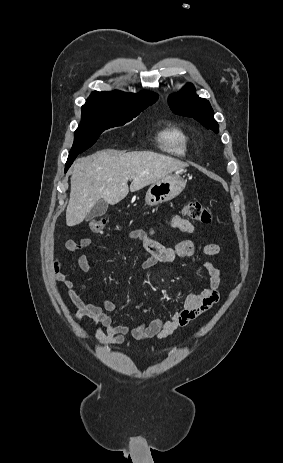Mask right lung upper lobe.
I'll use <instances>...</instances> for the list:
<instances>
[{
  "label": "right lung upper lobe",
  "instance_id": "obj_1",
  "mask_svg": "<svg viewBox=\"0 0 283 463\" xmlns=\"http://www.w3.org/2000/svg\"><path fill=\"white\" fill-rule=\"evenodd\" d=\"M157 99L158 95L150 91H141L138 94L125 93L122 91H95L90 95L87 101L144 106L153 104Z\"/></svg>",
  "mask_w": 283,
  "mask_h": 463
}]
</instances>
